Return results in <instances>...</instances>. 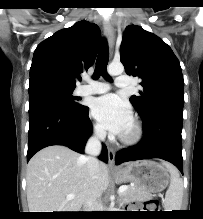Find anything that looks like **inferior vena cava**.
<instances>
[{
    "label": "inferior vena cava",
    "mask_w": 203,
    "mask_h": 219,
    "mask_svg": "<svg viewBox=\"0 0 203 219\" xmlns=\"http://www.w3.org/2000/svg\"><path fill=\"white\" fill-rule=\"evenodd\" d=\"M106 136V131L102 127H97L94 131L93 136H91L85 146V153L88 155L86 157L87 161V168H88V173L89 176L92 179L96 178V174L98 172V166H99V161L97 159V156L101 153L102 150V145L101 142L104 141ZM100 197L99 194H94L89 202L87 203L86 206V211L91 212L94 211L92 210L94 207H98V201L97 199ZM94 205V206H93ZM92 206V207H91ZM98 211V210H95Z\"/></svg>",
    "instance_id": "602c4592"
}]
</instances>
